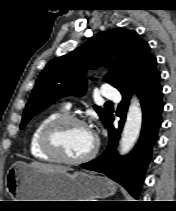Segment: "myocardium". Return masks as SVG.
<instances>
[{
	"label": "myocardium",
	"mask_w": 176,
	"mask_h": 211,
	"mask_svg": "<svg viewBox=\"0 0 176 211\" xmlns=\"http://www.w3.org/2000/svg\"><path fill=\"white\" fill-rule=\"evenodd\" d=\"M68 124H77L90 129L88 124L83 119L77 116L69 114L59 115L50 120L44 126L41 133L42 149L53 159L66 164L77 165L91 160L97 154L100 146L99 139L96 135H94L95 140L92 149L84 156L78 158H69L61 152L57 144V133L61 127Z\"/></svg>",
	"instance_id": "1"
}]
</instances>
